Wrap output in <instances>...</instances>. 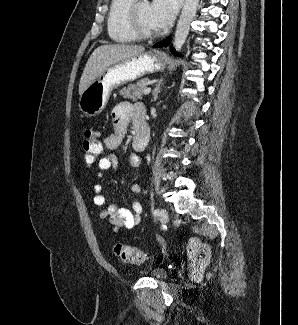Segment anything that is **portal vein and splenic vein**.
Segmentation results:
<instances>
[{"label":"portal vein and splenic vein","mask_w":298,"mask_h":325,"mask_svg":"<svg viewBox=\"0 0 298 325\" xmlns=\"http://www.w3.org/2000/svg\"><path fill=\"white\" fill-rule=\"evenodd\" d=\"M151 90H152L151 86H145V88H143V94H149Z\"/></svg>","instance_id":"18ae733b"}]
</instances>
